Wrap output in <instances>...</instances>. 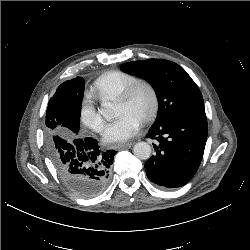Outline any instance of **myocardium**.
<instances>
[{"label": "myocardium", "instance_id": "f54148a6", "mask_svg": "<svg viewBox=\"0 0 250 250\" xmlns=\"http://www.w3.org/2000/svg\"><path fill=\"white\" fill-rule=\"evenodd\" d=\"M145 89L150 96V107L148 111L141 117V120L146 122L151 120L157 113L159 108V96L153 83L146 79H136L134 82L129 84L117 97L118 101L128 102L132 99L134 94L139 89Z\"/></svg>", "mask_w": 250, "mask_h": 250}]
</instances>
